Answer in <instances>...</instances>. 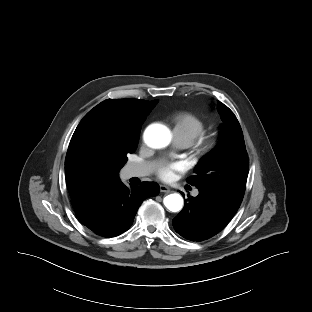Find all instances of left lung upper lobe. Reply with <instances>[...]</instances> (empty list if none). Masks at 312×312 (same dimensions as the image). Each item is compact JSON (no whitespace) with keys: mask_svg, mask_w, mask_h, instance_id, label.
I'll return each instance as SVG.
<instances>
[{"mask_svg":"<svg viewBox=\"0 0 312 312\" xmlns=\"http://www.w3.org/2000/svg\"><path fill=\"white\" fill-rule=\"evenodd\" d=\"M222 125L219 145L203 157L195 168L196 175L187 182L198 189H208L225 195L240 206L249 171V158L242 129L234 113L218 101Z\"/></svg>","mask_w":312,"mask_h":312,"instance_id":"5c2ea615","label":"left lung upper lobe"}]
</instances>
